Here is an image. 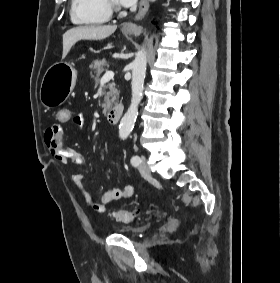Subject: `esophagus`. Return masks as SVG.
I'll return each instance as SVG.
<instances>
[{"mask_svg":"<svg viewBox=\"0 0 280 283\" xmlns=\"http://www.w3.org/2000/svg\"><path fill=\"white\" fill-rule=\"evenodd\" d=\"M148 8H149L148 0H141L140 1V5H139V11H138V13H137V15H136V17L134 19L135 22L141 20L145 16V14L148 11ZM135 22H129V23L125 24L123 28L125 30L137 29V25H136Z\"/></svg>","mask_w":280,"mask_h":283,"instance_id":"34e87169","label":"esophagus"}]
</instances>
